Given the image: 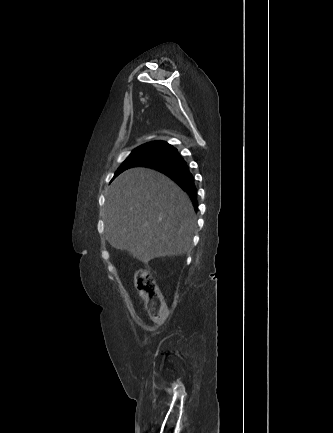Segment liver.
<instances>
[{
  "mask_svg": "<svg viewBox=\"0 0 333 433\" xmlns=\"http://www.w3.org/2000/svg\"><path fill=\"white\" fill-rule=\"evenodd\" d=\"M188 195L160 172L135 167L121 173L106 194V239L143 263L184 254L195 226Z\"/></svg>",
  "mask_w": 333,
  "mask_h": 433,
  "instance_id": "liver-1",
  "label": "liver"
}]
</instances>
